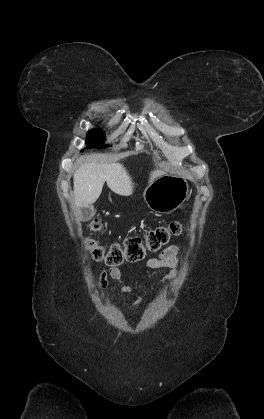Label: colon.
I'll return each mask as SVG.
<instances>
[{"instance_id": "1", "label": "colon", "mask_w": 264, "mask_h": 419, "mask_svg": "<svg viewBox=\"0 0 264 419\" xmlns=\"http://www.w3.org/2000/svg\"><path fill=\"white\" fill-rule=\"evenodd\" d=\"M103 222L95 219L92 223L94 231H100ZM182 230V225L173 221L167 225H159L145 232L143 236H131L122 243H114L110 246H102L96 240L90 238L86 247L91 256L97 261H104L110 267H117L123 262H136L141 260L146 252H157L164 247L172 236H177Z\"/></svg>"}]
</instances>
